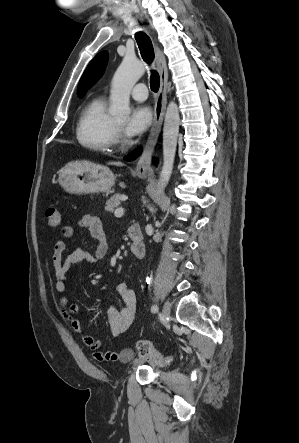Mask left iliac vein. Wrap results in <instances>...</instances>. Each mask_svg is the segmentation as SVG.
<instances>
[{
  "instance_id": "obj_1",
  "label": "left iliac vein",
  "mask_w": 299,
  "mask_h": 443,
  "mask_svg": "<svg viewBox=\"0 0 299 443\" xmlns=\"http://www.w3.org/2000/svg\"><path fill=\"white\" fill-rule=\"evenodd\" d=\"M171 314V306L168 301L164 303L163 309H162V317L165 322H168V319L170 318Z\"/></svg>"
}]
</instances>
